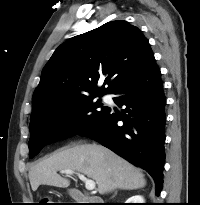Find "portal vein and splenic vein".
<instances>
[{
  "label": "portal vein and splenic vein",
  "mask_w": 200,
  "mask_h": 205,
  "mask_svg": "<svg viewBox=\"0 0 200 205\" xmlns=\"http://www.w3.org/2000/svg\"><path fill=\"white\" fill-rule=\"evenodd\" d=\"M61 173L65 174H74V171L72 170H61ZM78 177L85 183V188L89 191H92L95 189V182L93 180L87 179L83 174L76 173Z\"/></svg>",
  "instance_id": "obj_1"
}]
</instances>
